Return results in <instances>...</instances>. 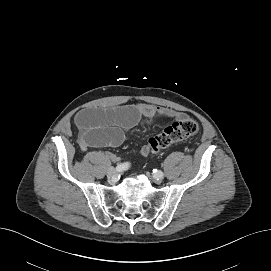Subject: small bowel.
I'll use <instances>...</instances> for the list:
<instances>
[{"mask_svg":"<svg viewBox=\"0 0 271 271\" xmlns=\"http://www.w3.org/2000/svg\"><path fill=\"white\" fill-rule=\"evenodd\" d=\"M185 115L168 108L151 104L127 105L115 109H87L75 116L79 129L78 143L82 150L98 147H117L125 140L126 131L134 127L142 118L180 120ZM149 147L144 146L141 156L149 154ZM112 160L117 156L110 155Z\"/></svg>","mask_w":271,"mask_h":271,"instance_id":"1","label":"small bowel"}]
</instances>
